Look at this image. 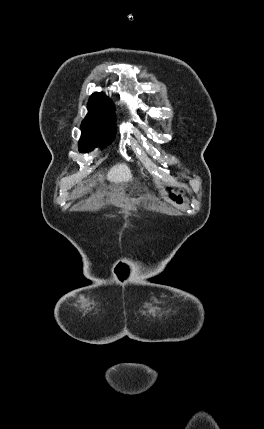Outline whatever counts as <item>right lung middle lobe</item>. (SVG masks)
<instances>
[{
    "label": "right lung middle lobe",
    "mask_w": 264,
    "mask_h": 429,
    "mask_svg": "<svg viewBox=\"0 0 264 429\" xmlns=\"http://www.w3.org/2000/svg\"><path fill=\"white\" fill-rule=\"evenodd\" d=\"M79 150L89 152L96 147L109 145L115 137V114L111 106H88L82 122Z\"/></svg>",
    "instance_id": "1"
}]
</instances>
